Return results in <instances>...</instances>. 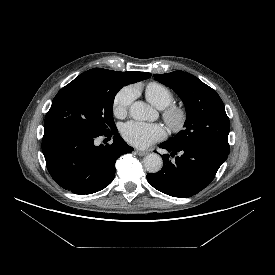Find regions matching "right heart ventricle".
Here are the masks:
<instances>
[{"label": "right heart ventricle", "mask_w": 275, "mask_h": 275, "mask_svg": "<svg viewBox=\"0 0 275 275\" xmlns=\"http://www.w3.org/2000/svg\"><path fill=\"white\" fill-rule=\"evenodd\" d=\"M145 96L147 100L159 109L169 106L174 100L172 90L160 82H150L145 88Z\"/></svg>", "instance_id": "right-heart-ventricle-1"}]
</instances>
